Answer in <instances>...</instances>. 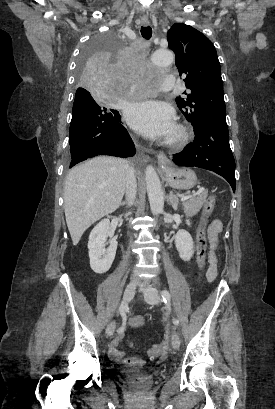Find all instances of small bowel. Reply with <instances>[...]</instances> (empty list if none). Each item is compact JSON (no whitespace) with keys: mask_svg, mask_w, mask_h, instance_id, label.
I'll return each mask as SVG.
<instances>
[{"mask_svg":"<svg viewBox=\"0 0 275 409\" xmlns=\"http://www.w3.org/2000/svg\"><path fill=\"white\" fill-rule=\"evenodd\" d=\"M221 228H222L221 222L219 220H215L213 221L209 229V236H210V249H209V255H208V260L210 264L209 269L211 267L216 268L218 234L220 233ZM215 277L212 278L207 274V278L209 281H212ZM128 323L133 328H140L145 325L146 319L143 316H133L129 319ZM119 341H120V337H116L110 342V345H109V355L111 356L113 360L120 361L128 366H140L145 363L144 360L139 359L137 357H126L124 353L118 349Z\"/></svg>","mask_w":275,"mask_h":409,"instance_id":"c3829d8e","label":"small bowel"}]
</instances>
